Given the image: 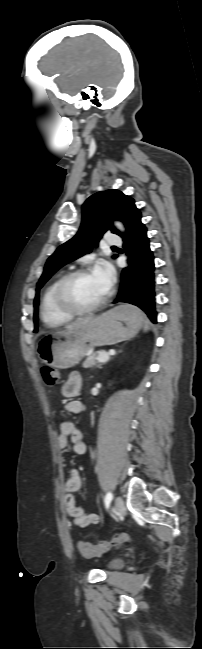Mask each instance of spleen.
Listing matches in <instances>:
<instances>
[{
    "mask_svg": "<svg viewBox=\"0 0 202 649\" xmlns=\"http://www.w3.org/2000/svg\"><path fill=\"white\" fill-rule=\"evenodd\" d=\"M147 324H148V322L145 321V326H144V329H145V330H147Z\"/></svg>",
    "mask_w": 202,
    "mask_h": 649,
    "instance_id": "spleen-1",
    "label": "spleen"
}]
</instances>
